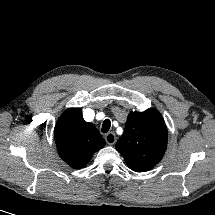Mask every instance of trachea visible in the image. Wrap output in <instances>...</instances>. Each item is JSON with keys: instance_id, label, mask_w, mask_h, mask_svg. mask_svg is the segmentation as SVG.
Segmentation results:
<instances>
[{"instance_id": "1", "label": "trachea", "mask_w": 215, "mask_h": 215, "mask_svg": "<svg viewBox=\"0 0 215 215\" xmlns=\"http://www.w3.org/2000/svg\"><path fill=\"white\" fill-rule=\"evenodd\" d=\"M111 126V122L109 119H106L103 124H102V132L103 133H107L110 129Z\"/></svg>"}]
</instances>
